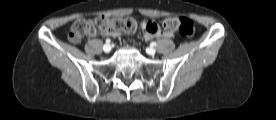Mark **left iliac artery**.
<instances>
[{
    "instance_id": "obj_1",
    "label": "left iliac artery",
    "mask_w": 276,
    "mask_h": 120,
    "mask_svg": "<svg viewBox=\"0 0 276 120\" xmlns=\"http://www.w3.org/2000/svg\"><path fill=\"white\" fill-rule=\"evenodd\" d=\"M157 44H156V42H152L151 43V46L153 47V46H156Z\"/></svg>"
}]
</instances>
